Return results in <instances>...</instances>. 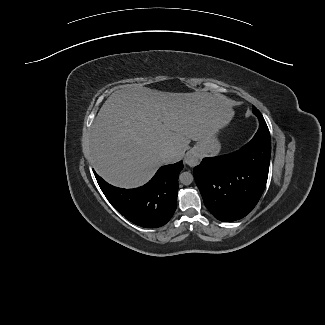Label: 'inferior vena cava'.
<instances>
[{"label": "inferior vena cava", "mask_w": 325, "mask_h": 325, "mask_svg": "<svg viewBox=\"0 0 325 325\" xmlns=\"http://www.w3.org/2000/svg\"><path fill=\"white\" fill-rule=\"evenodd\" d=\"M161 157L164 160V162H171L174 157V153L173 151L166 149L162 152Z\"/></svg>", "instance_id": "602c4592"}]
</instances>
